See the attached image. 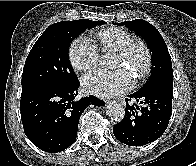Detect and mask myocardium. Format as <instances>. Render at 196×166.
I'll list each match as a JSON object with an SVG mask.
<instances>
[{
  "label": "myocardium",
  "instance_id": "f54148a6",
  "mask_svg": "<svg viewBox=\"0 0 196 166\" xmlns=\"http://www.w3.org/2000/svg\"><path fill=\"white\" fill-rule=\"evenodd\" d=\"M137 50H141L144 55V62L143 65L140 67V70L135 75L138 81L143 80L146 78L152 67V52L149 46L142 40L136 39L128 43L124 48L117 51V55L123 60H130L134 53Z\"/></svg>",
  "mask_w": 196,
  "mask_h": 166
}]
</instances>
